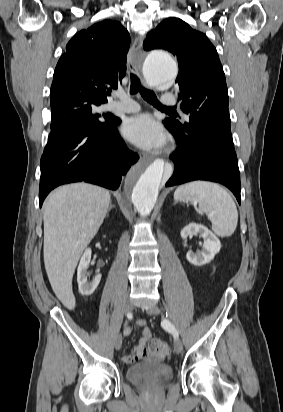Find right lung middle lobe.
Here are the masks:
<instances>
[{
    "mask_svg": "<svg viewBox=\"0 0 283 412\" xmlns=\"http://www.w3.org/2000/svg\"><path fill=\"white\" fill-rule=\"evenodd\" d=\"M100 105L101 103L79 102L71 105L61 114L52 115L50 135L58 130L73 131L81 125L108 127L115 120V116L99 113Z\"/></svg>",
    "mask_w": 283,
    "mask_h": 412,
    "instance_id": "dd1d6c3e",
    "label": "right lung middle lobe"
}]
</instances>
